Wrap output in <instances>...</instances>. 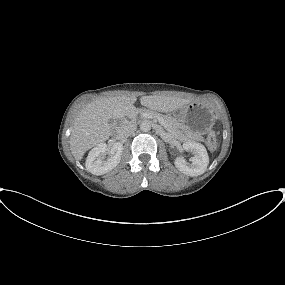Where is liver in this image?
Returning a JSON list of instances; mask_svg holds the SVG:
<instances>
[{
    "instance_id": "1",
    "label": "liver",
    "mask_w": 285,
    "mask_h": 285,
    "mask_svg": "<svg viewBox=\"0 0 285 285\" xmlns=\"http://www.w3.org/2000/svg\"><path fill=\"white\" fill-rule=\"evenodd\" d=\"M135 95L103 97L83 108L74 120L69 144L72 155L81 160L89 149L103 143L111 136L110 119H120L134 112ZM191 102V99L174 96H142L141 105L155 111H175Z\"/></svg>"
}]
</instances>
